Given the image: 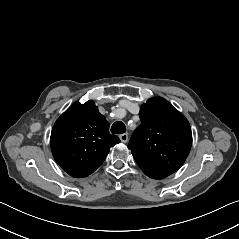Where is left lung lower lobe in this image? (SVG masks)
Returning <instances> with one entry per match:
<instances>
[{"instance_id":"obj_1","label":"left lung lower lobe","mask_w":239,"mask_h":239,"mask_svg":"<svg viewBox=\"0 0 239 239\" xmlns=\"http://www.w3.org/2000/svg\"><path fill=\"white\" fill-rule=\"evenodd\" d=\"M149 177L154 178V179H162V178H165V177L156 176V175H151V176H149Z\"/></svg>"}]
</instances>
